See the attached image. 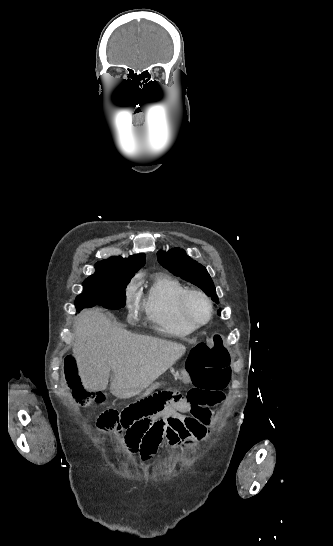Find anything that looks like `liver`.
<instances>
[{"label": "liver", "mask_w": 333, "mask_h": 546, "mask_svg": "<svg viewBox=\"0 0 333 546\" xmlns=\"http://www.w3.org/2000/svg\"><path fill=\"white\" fill-rule=\"evenodd\" d=\"M186 347L182 344L142 336L114 326L99 308L82 311L75 321L73 357L85 390L107 388L126 399L139 394L170 368Z\"/></svg>", "instance_id": "6515ba94"}]
</instances>
